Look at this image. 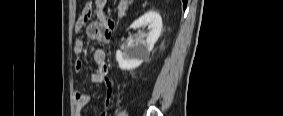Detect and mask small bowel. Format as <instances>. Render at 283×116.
Instances as JSON below:
<instances>
[{"instance_id": "c3829d8e", "label": "small bowel", "mask_w": 283, "mask_h": 116, "mask_svg": "<svg viewBox=\"0 0 283 116\" xmlns=\"http://www.w3.org/2000/svg\"><path fill=\"white\" fill-rule=\"evenodd\" d=\"M105 0H96L89 3L77 20L76 31H80L87 23L92 15L96 17V21L90 23L86 27L87 36L97 42H107L114 28V22L103 12L102 4ZM85 47L83 38H78L75 42L74 51L78 55L75 68L77 72H81L83 68V59L80 57ZM93 60L96 69L91 74L93 83H104L106 87L105 109L98 113L99 116H107V108L114 94V83L108 76V66L105 62V54L103 50L97 48L93 54ZM75 116H80L81 110L89 103L90 95L85 92H75Z\"/></svg>"}]
</instances>
